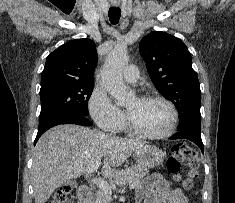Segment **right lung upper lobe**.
<instances>
[{"instance_id": "obj_1", "label": "right lung upper lobe", "mask_w": 235, "mask_h": 203, "mask_svg": "<svg viewBox=\"0 0 235 203\" xmlns=\"http://www.w3.org/2000/svg\"><path fill=\"white\" fill-rule=\"evenodd\" d=\"M96 62V45L92 40L69 41L47 57L41 86L62 81L94 82Z\"/></svg>"}]
</instances>
